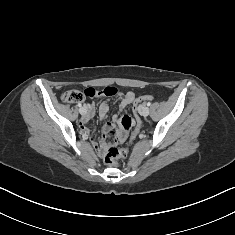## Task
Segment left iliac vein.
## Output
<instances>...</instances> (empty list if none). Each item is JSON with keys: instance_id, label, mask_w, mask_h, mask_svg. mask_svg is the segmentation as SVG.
I'll use <instances>...</instances> for the list:
<instances>
[{"instance_id": "obj_1", "label": "left iliac vein", "mask_w": 235, "mask_h": 235, "mask_svg": "<svg viewBox=\"0 0 235 235\" xmlns=\"http://www.w3.org/2000/svg\"><path fill=\"white\" fill-rule=\"evenodd\" d=\"M141 113L144 117L148 116L149 115V108L148 107H143Z\"/></svg>"}]
</instances>
